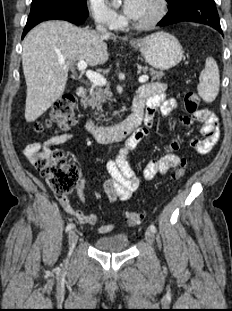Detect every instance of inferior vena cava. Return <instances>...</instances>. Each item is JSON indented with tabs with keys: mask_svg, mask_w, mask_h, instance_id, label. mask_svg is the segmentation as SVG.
<instances>
[{
	"mask_svg": "<svg viewBox=\"0 0 232 311\" xmlns=\"http://www.w3.org/2000/svg\"><path fill=\"white\" fill-rule=\"evenodd\" d=\"M96 29L104 35H110V33L101 24L97 25Z\"/></svg>",
	"mask_w": 232,
	"mask_h": 311,
	"instance_id": "inferior-vena-cava-1",
	"label": "inferior vena cava"
}]
</instances>
